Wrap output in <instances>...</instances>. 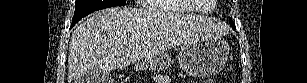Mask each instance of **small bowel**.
Wrapping results in <instances>:
<instances>
[{
    "label": "small bowel",
    "instance_id": "1",
    "mask_svg": "<svg viewBox=\"0 0 307 83\" xmlns=\"http://www.w3.org/2000/svg\"><path fill=\"white\" fill-rule=\"evenodd\" d=\"M169 82V77L166 75H163L160 79V83H168Z\"/></svg>",
    "mask_w": 307,
    "mask_h": 83
}]
</instances>
